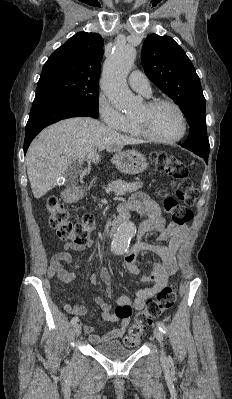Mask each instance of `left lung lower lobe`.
Wrapping results in <instances>:
<instances>
[{"label":"left lung lower lobe","instance_id":"left-lung-lower-lobe-1","mask_svg":"<svg viewBox=\"0 0 232 399\" xmlns=\"http://www.w3.org/2000/svg\"><path fill=\"white\" fill-rule=\"evenodd\" d=\"M202 158H204L205 162L208 163V155H198Z\"/></svg>","mask_w":232,"mask_h":399}]
</instances>
